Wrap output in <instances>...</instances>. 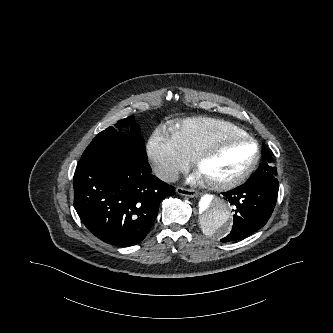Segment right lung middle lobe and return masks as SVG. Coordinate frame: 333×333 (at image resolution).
<instances>
[{
  "instance_id": "1",
  "label": "right lung middle lobe",
  "mask_w": 333,
  "mask_h": 333,
  "mask_svg": "<svg viewBox=\"0 0 333 333\" xmlns=\"http://www.w3.org/2000/svg\"><path fill=\"white\" fill-rule=\"evenodd\" d=\"M121 128L131 126L127 135L122 130L117 132L109 127L97 134L82 154L81 160L101 158H122L129 162H148L145 142L140 134V128L133 123V116L118 121Z\"/></svg>"
}]
</instances>
